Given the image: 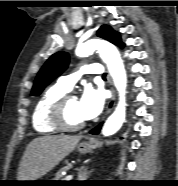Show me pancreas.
Wrapping results in <instances>:
<instances>
[{
    "label": "pancreas",
    "mask_w": 178,
    "mask_h": 186,
    "mask_svg": "<svg viewBox=\"0 0 178 186\" xmlns=\"http://www.w3.org/2000/svg\"><path fill=\"white\" fill-rule=\"evenodd\" d=\"M66 169H69V166H66V167H63L62 169H60L56 175H55V178H54V181H65L64 179V176L62 175V171L66 170Z\"/></svg>",
    "instance_id": "pancreas-1"
}]
</instances>
